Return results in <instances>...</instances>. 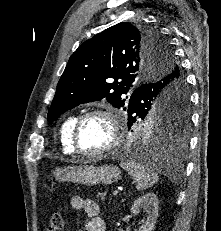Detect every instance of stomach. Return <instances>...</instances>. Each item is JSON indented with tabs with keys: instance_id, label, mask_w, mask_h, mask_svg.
<instances>
[{
	"instance_id": "1",
	"label": "stomach",
	"mask_w": 221,
	"mask_h": 231,
	"mask_svg": "<svg viewBox=\"0 0 221 231\" xmlns=\"http://www.w3.org/2000/svg\"><path fill=\"white\" fill-rule=\"evenodd\" d=\"M159 159L157 155L153 157ZM54 177L59 182L71 181L73 183L93 186L96 184H112L120 179V170L113 165H83L56 168Z\"/></svg>"
}]
</instances>
